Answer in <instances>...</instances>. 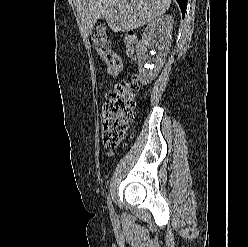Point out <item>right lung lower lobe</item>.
Instances as JSON below:
<instances>
[{"label":"right lung lower lobe","instance_id":"98d812e1","mask_svg":"<svg viewBox=\"0 0 248 247\" xmlns=\"http://www.w3.org/2000/svg\"><path fill=\"white\" fill-rule=\"evenodd\" d=\"M180 6V9L182 11V16H185V11L187 8V0H176Z\"/></svg>","mask_w":248,"mask_h":247}]
</instances>
